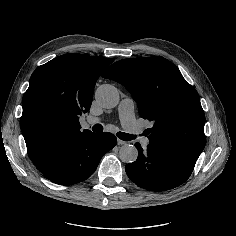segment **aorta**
<instances>
[{
	"instance_id": "1",
	"label": "aorta",
	"mask_w": 236,
	"mask_h": 236,
	"mask_svg": "<svg viewBox=\"0 0 236 236\" xmlns=\"http://www.w3.org/2000/svg\"><path fill=\"white\" fill-rule=\"evenodd\" d=\"M97 102L104 108H113L119 103V93L117 89L110 85L104 84L98 87L95 93ZM138 150L130 144L123 145L119 150V158L122 162L132 163L137 160Z\"/></svg>"
}]
</instances>
